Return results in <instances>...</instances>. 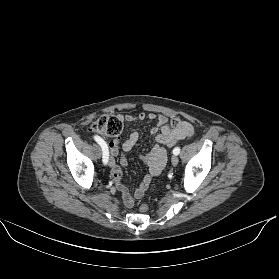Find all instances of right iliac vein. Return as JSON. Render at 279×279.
<instances>
[{"mask_svg": "<svg viewBox=\"0 0 279 279\" xmlns=\"http://www.w3.org/2000/svg\"><path fill=\"white\" fill-rule=\"evenodd\" d=\"M114 164H115L114 158L110 157L109 160H108V165L112 167Z\"/></svg>", "mask_w": 279, "mask_h": 279, "instance_id": "right-iliac-vein-1", "label": "right iliac vein"}]
</instances>
